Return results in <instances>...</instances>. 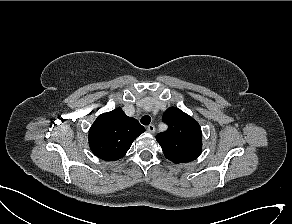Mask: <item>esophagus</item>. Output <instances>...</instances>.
<instances>
[{
    "label": "esophagus",
    "instance_id": "esophagus-1",
    "mask_svg": "<svg viewBox=\"0 0 292 224\" xmlns=\"http://www.w3.org/2000/svg\"><path fill=\"white\" fill-rule=\"evenodd\" d=\"M155 126L153 125V124H150V125H148V127H147V131L149 132V133H155Z\"/></svg>",
    "mask_w": 292,
    "mask_h": 224
}]
</instances>
